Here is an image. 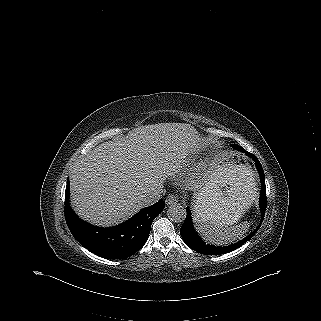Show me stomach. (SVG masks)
<instances>
[{"label":"stomach","mask_w":321,"mask_h":321,"mask_svg":"<svg viewBox=\"0 0 321 321\" xmlns=\"http://www.w3.org/2000/svg\"><path fill=\"white\" fill-rule=\"evenodd\" d=\"M256 194L257 182L251 166L243 164L238 155L220 157L194 197V217L213 212L229 225L237 223Z\"/></svg>","instance_id":"stomach-1"}]
</instances>
